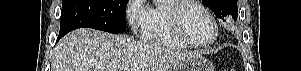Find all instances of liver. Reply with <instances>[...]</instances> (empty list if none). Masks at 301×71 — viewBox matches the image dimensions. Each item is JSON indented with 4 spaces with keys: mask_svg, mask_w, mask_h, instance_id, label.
<instances>
[{
    "mask_svg": "<svg viewBox=\"0 0 301 71\" xmlns=\"http://www.w3.org/2000/svg\"><path fill=\"white\" fill-rule=\"evenodd\" d=\"M190 55L125 35L82 28L59 41L52 71H168Z\"/></svg>",
    "mask_w": 301,
    "mask_h": 71,
    "instance_id": "liver-1",
    "label": "liver"
}]
</instances>
